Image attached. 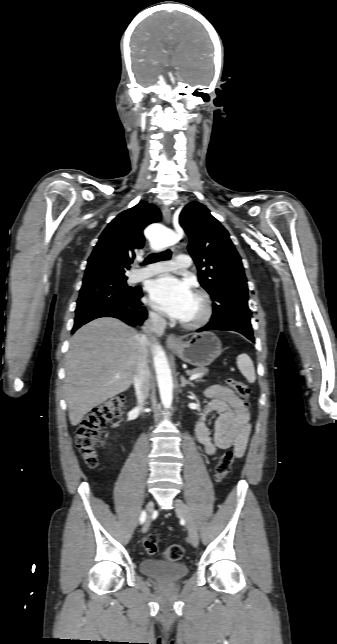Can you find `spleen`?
I'll return each instance as SVG.
<instances>
[{"label":"spleen","instance_id":"3e777b00","mask_svg":"<svg viewBox=\"0 0 337 644\" xmlns=\"http://www.w3.org/2000/svg\"><path fill=\"white\" fill-rule=\"evenodd\" d=\"M237 365L241 374L247 379V381L249 383H254L256 375L251 358L247 354H240L237 356Z\"/></svg>","mask_w":337,"mask_h":644}]
</instances>
